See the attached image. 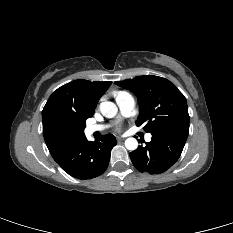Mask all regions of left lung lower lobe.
Masks as SVG:
<instances>
[{
  "label": "left lung lower lobe",
  "instance_id": "1",
  "mask_svg": "<svg viewBox=\"0 0 233 233\" xmlns=\"http://www.w3.org/2000/svg\"><path fill=\"white\" fill-rule=\"evenodd\" d=\"M189 129L177 128L152 134L145 147L130 153L133 165L140 172L159 174L168 170L180 157Z\"/></svg>",
  "mask_w": 233,
  "mask_h": 233
}]
</instances>
